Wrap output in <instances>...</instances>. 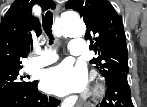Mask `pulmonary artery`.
<instances>
[{"instance_id": "obj_1", "label": "pulmonary artery", "mask_w": 147, "mask_h": 107, "mask_svg": "<svg viewBox=\"0 0 147 107\" xmlns=\"http://www.w3.org/2000/svg\"><path fill=\"white\" fill-rule=\"evenodd\" d=\"M85 48V41L83 39H73L70 42V52L73 54H82ZM57 60V56L50 52H43L41 55L34 57L30 63V68H41L47 66Z\"/></svg>"}]
</instances>
